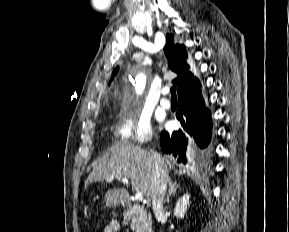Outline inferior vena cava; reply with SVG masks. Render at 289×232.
<instances>
[{
    "label": "inferior vena cava",
    "instance_id": "obj_1",
    "mask_svg": "<svg viewBox=\"0 0 289 232\" xmlns=\"http://www.w3.org/2000/svg\"><path fill=\"white\" fill-rule=\"evenodd\" d=\"M153 182H152V208L156 215L163 211V202L168 183V171L162 165L160 154L153 153Z\"/></svg>",
    "mask_w": 289,
    "mask_h": 232
}]
</instances>
